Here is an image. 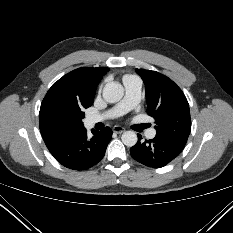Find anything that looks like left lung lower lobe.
<instances>
[{"label": "left lung lower lobe", "mask_w": 233, "mask_h": 233, "mask_svg": "<svg viewBox=\"0 0 233 233\" xmlns=\"http://www.w3.org/2000/svg\"><path fill=\"white\" fill-rule=\"evenodd\" d=\"M138 139V142L130 148L131 156L139 163L153 168L167 165L185 146L157 136L141 142L142 138L138 135Z\"/></svg>", "instance_id": "left-lung-lower-lobe-1"}]
</instances>
